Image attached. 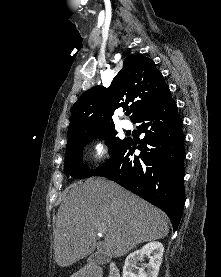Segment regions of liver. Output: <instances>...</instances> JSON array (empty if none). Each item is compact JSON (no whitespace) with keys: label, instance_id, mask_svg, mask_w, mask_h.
I'll use <instances>...</instances> for the list:
<instances>
[{"label":"liver","instance_id":"liver-1","mask_svg":"<svg viewBox=\"0 0 221 277\" xmlns=\"http://www.w3.org/2000/svg\"><path fill=\"white\" fill-rule=\"evenodd\" d=\"M100 226L105 228L104 249L110 258L169 232L164 212L110 180L89 178L72 188L59 207L54 231L57 265L67 267L92 254Z\"/></svg>","mask_w":221,"mask_h":277}]
</instances>
